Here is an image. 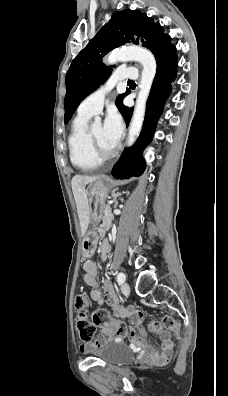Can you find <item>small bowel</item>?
I'll return each mask as SVG.
<instances>
[{"label": "small bowel", "instance_id": "small-bowel-1", "mask_svg": "<svg viewBox=\"0 0 228 396\" xmlns=\"http://www.w3.org/2000/svg\"><path fill=\"white\" fill-rule=\"evenodd\" d=\"M108 250L109 244L105 240L101 244V252L105 255ZM83 269L84 281L91 288L89 292L90 299L99 305H110L116 317L128 320L130 322L129 338L138 345L148 347L150 350V358L155 364H166L171 359L174 348L170 334L166 331H161L159 334L161 339L160 347L158 349L151 347L144 330L141 328L143 313L132 307L120 306L109 280L104 282L103 293L98 289V271L95 261L90 259L86 260L83 264ZM121 338L122 336H118L112 328L101 327L96 336H93L91 340L81 344L80 350L81 352H88L108 341L119 340Z\"/></svg>", "mask_w": 228, "mask_h": 396}]
</instances>
